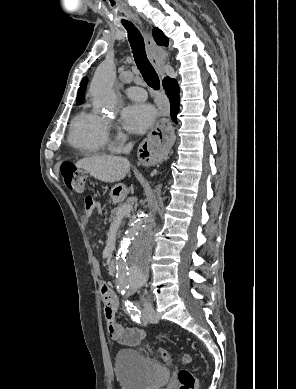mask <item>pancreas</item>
I'll return each mask as SVG.
<instances>
[{"label":"pancreas","mask_w":296,"mask_h":389,"mask_svg":"<svg viewBox=\"0 0 296 389\" xmlns=\"http://www.w3.org/2000/svg\"><path fill=\"white\" fill-rule=\"evenodd\" d=\"M124 205H126V204H125V203H120L117 207H115V208L111 211L110 222H112L113 220H115V219L117 218V213H118L119 209H120L122 206H124ZM122 218H124V217H122ZM123 225H124V222L121 221V226H123Z\"/></svg>","instance_id":"obj_1"}]
</instances>
